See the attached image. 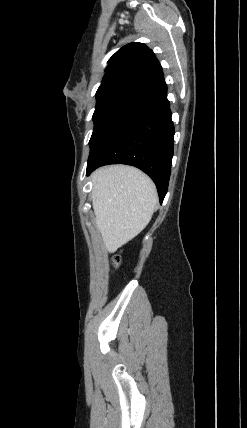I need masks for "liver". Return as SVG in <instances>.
I'll use <instances>...</instances> for the list:
<instances>
[{"label":"liver","mask_w":247,"mask_h":428,"mask_svg":"<svg viewBox=\"0 0 247 428\" xmlns=\"http://www.w3.org/2000/svg\"><path fill=\"white\" fill-rule=\"evenodd\" d=\"M96 226L110 253L132 240L150 222L158 195L153 181L137 168L112 165L92 174Z\"/></svg>","instance_id":"liver-1"}]
</instances>
